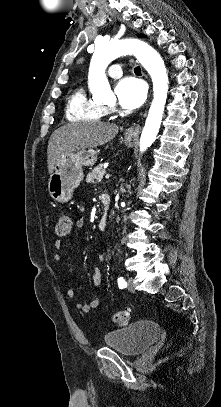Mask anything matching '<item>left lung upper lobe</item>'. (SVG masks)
I'll return each instance as SVG.
<instances>
[{"mask_svg": "<svg viewBox=\"0 0 221 407\" xmlns=\"http://www.w3.org/2000/svg\"><path fill=\"white\" fill-rule=\"evenodd\" d=\"M138 37H145V35H143V34H140V35H138Z\"/></svg>", "mask_w": 221, "mask_h": 407, "instance_id": "5c2ea615", "label": "left lung upper lobe"}]
</instances>
